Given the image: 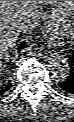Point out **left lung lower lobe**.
<instances>
[{
  "instance_id": "0a47b994",
  "label": "left lung lower lobe",
  "mask_w": 74,
  "mask_h": 122,
  "mask_svg": "<svg viewBox=\"0 0 74 122\" xmlns=\"http://www.w3.org/2000/svg\"><path fill=\"white\" fill-rule=\"evenodd\" d=\"M69 63L71 67L70 74L67 79L60 82L58 85L65 92L74 94V57H71L69 59Z\"/></svg>"
}]
</instances>
